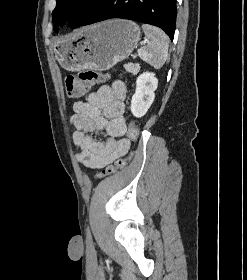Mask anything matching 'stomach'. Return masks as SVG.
Segmentation results:
<instances>
[{
  "label": "stomach",
  "mask_w": 247,
  "mask_h": 280,
  "mask_svg": "<svg viewBox=\"0 0 247 280\" xmlns=\"http://www.w3.org/2000/svg\"><path fill=\"white\" fill-rule=\"evenodd\" d=\"M139 26L130 20H110L79 29L56 44L61 65L68 71H104L126 59L140 39Z\"/></svg>",
  "instance_id": "stomach-1"
}]
</instances>
